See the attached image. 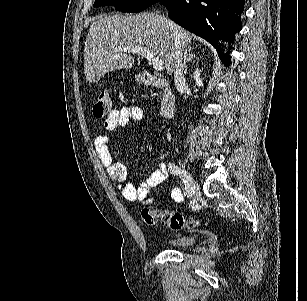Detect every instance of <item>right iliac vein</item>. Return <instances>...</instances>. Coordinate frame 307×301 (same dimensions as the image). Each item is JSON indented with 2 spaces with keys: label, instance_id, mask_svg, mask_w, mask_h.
Here are the masks:
<instances>
[{
  "label": "right iliac vein",
  "instance_id": "1",
  "mask_svg": "<svg viewBox=\"0 0 307 301\" xmlns=\"http://www.w3.org/2000/svg\"><path fill=\"white\" fill-rule=\"evenodd\" d=\"M187 193L190 194V196L192 197L194 202H197V200L201 196L200 189H199L198 185L196 184L195 179L189 173H187Z\"/></svg>",
  "mask_w": 307,
  "mask_h": 301
}]
</instances>
